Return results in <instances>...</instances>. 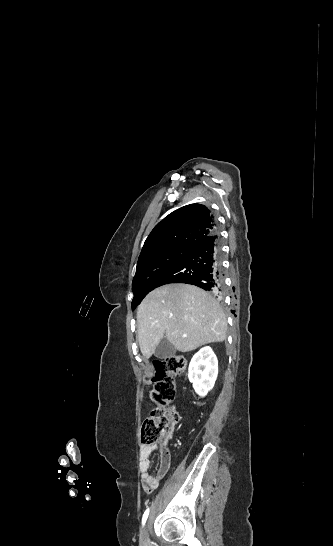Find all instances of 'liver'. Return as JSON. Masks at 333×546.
Instances as JSON below:
<instances>
[{"label": "liver", "mask_w": 333, "mask_h": 546, "mask_svg": "<svg viewBox=\"0 0 333 546\" xmlns=\"http://www.w3.org/2000/svg\"><path fill=\"white\" fill-rule=\"evenodd\" d=\"M138 340L150 358L165 338L180 352L226 339L227 320L218 301L199 287L184 283L151 291L137 310Z\"/></svg>", "instance_id": "liver-1"}]
</instances>
